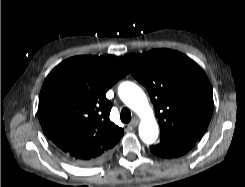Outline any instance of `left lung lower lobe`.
I'll return each mask as SVG.
<instances>
[{
	"instance_id": "obj_1",
	"label": "left lung lower lobe",
	"mask_w": 245,
	"mask_h": 187,
	"mask_svg": "<svg viewBox=\"0 0 245 187\" xmlns=\"http://www.w3.org/2000/svg\"><path fill=\"white\" fill-rule=\"evenodd\" d=\"M197 136L161 137L160 143L150 147L156 156L176 158L187 153L197 142Z\"/></svg>"
}]
</instances>
